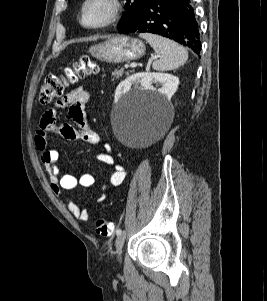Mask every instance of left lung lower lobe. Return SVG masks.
<instances>
[{"instance_id": "0a47b994", "label": "left lung lower lobe", "mask_w": 267, "mask_h": 301, "mask_svg": "<svg viewBox=\"0 0 267 301\" xmlns=\"http://www.w3.org/2000/svg\"><path fill=\"white\" fill-rule=\"evenodd\" d=\"M119 33H152L200 53L198 25L190 0H147L136 18L118 27Z\"/></svg>"}]
</instances>
